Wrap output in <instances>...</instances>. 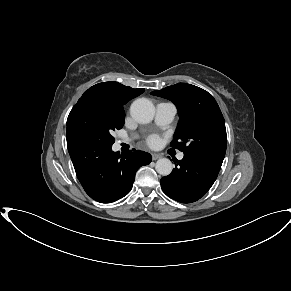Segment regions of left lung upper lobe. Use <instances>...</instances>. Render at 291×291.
Here are the masks:
<instances>
[{
	"mask_svg": "<svg viewBox=\"0 0 291 291\" xmlns=\"http://www.w3.org/2000/svg\"><path fill=\"white\" fill-rule=\"evenodd\" d=\"M152 95L171 100L180 116L171 142L184 154L204 159H224L227 145L225 121L220 108L207 91L178 83Z\"/></svg>",
	"mask_w": 291,
	"mask_h": 291,
	"instance_id": "left-lung-upper-lobe-1",
	"label": "left lung upper lobe"
}]
</instances>
